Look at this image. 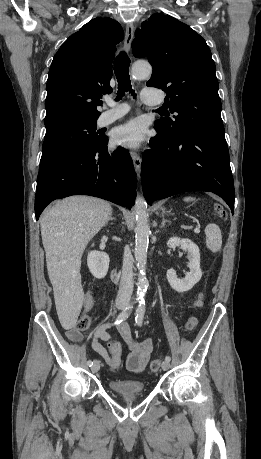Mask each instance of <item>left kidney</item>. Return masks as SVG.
I'll return each mask as SVG.
<instances>
[{"mask_svg": "<svg viewBox=\"0 0 261 459\" xmlns=\"http://www.w3.org/2000/svg\"><path fill=\"white\" fill-rule=\"evenodd\" d=\"M167 246L169 248L180 246L182 250L188 252L189 272L186 273L184 278L180 279L177 277L174 269H168L167 280L175 291L179 293L189 291L202 277L199 248L190 239H181L178 237L170 238L167 242Z\"/></svg>", "mask_w": 261, "mask_h": 459, "instance_id": "obj_1", "label": "left kidney"}]
</instances>
